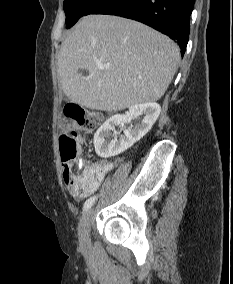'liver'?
Instances as JSON below:
<instances>
[{
  "label": "liver",
  "mask_w": 233,
  "mask_h": 284,
  "mask_svg": "<svg viewBox=\"0 0 233 284\" xmlns=\"http://www.w3.org/2000/svg\"><path fill=\"white\" fill-rule=\"evenodd\" d=\"M179 60V47L147 25L117 16L88 15L62 41L57 72L64 94L73 102L115 112L158 101ZM100 65L106 68L99 69Z\"/></svg>",
  "instance_id": "1"
}]
</instances>
